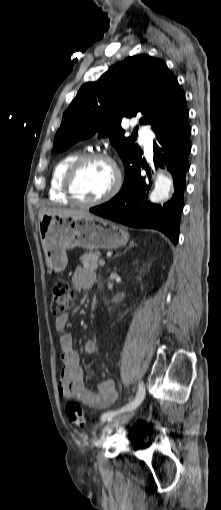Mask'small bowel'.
<instances>
[{
	"label": "small bowel",
	"mask_w": 221,
	"mask_h": 510,
	"mask_svg": "<svg viewBox=\"0 0 221 510\" xmlns=\"http://www.w3.org/2000/svg\"><path fill=\"white\" fill-rule=\"evenodd\" d=\"M96 276L91 269L77 267L72 275V283L77 290L90 289L95 283ZM70 323L69 314H62L55 319V328L65 330ZM62 368L59 376L58 395L62 399H73L91 409H102L112 405L117 397L114 383L111 379L100 382L95 389L86 385V373L80 357L74 350V340L70 334L60 337ZM87 355L96 352V344L87 341L84 346Z\"/></svg>",
	"instance_id": "c3829d8e"
}]
</instances>
